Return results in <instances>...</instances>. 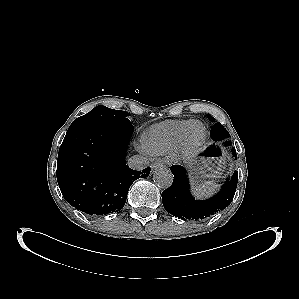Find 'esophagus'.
I'll use <instances>...</instances> for the list:
<instances>
[{
	"instance_id": "1",
	"label": "esophagus",
	"mask_w": 299,
	"mask_h": 299,
	"mask_svg": "<svg viewBox=\"0 0 299 299\" xmlns=\"http://www.w3.org/2000/svg\"><path fill=\"white\" fill-rule=\"evenodd\" d=\"M165 167V164L162 161L155 162L151 165L152 170L162 169Z\"/></svg>"
}]
</instances>
